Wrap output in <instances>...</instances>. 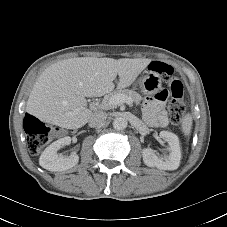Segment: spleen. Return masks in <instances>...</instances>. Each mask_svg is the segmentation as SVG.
<instances>
[{"instance_id": "spleen-1", "label": "spleen", "mask_w": 227, "mask_h": 227, "mask_svg": "<svg viewBox=\"0 0 227 227\" xmlns=\"http://www.w3.org/2000/svg\"><path fill=\"white\" fill-rule=\"evenodd\" d=\"M192 128V116L187 114L182 119V131L186 136H189Z\"/></svg>"}]
</instances>
